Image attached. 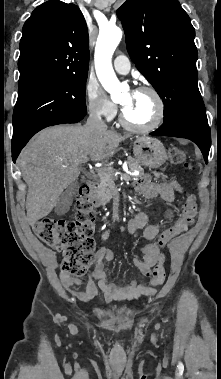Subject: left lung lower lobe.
Segmentation results:
<instances>
[{
  "label": "left lung lower lobe",
  "mask_w": 221,
  "mask_h": 379,
  "mask_svg": "<svg viewBox=\"0 0 221 379\" xmlns=\"http://www.w3.org/2000/svg\"><path fill=\"white\" fill-rule=\"evenodd\" d=\"M150 135L187 138L201 149L207 163L211 146V134L207 120L187 116H174L166 121Z\"/></svg>",
  "instance_id": "left-lung-lower-lobe-1"
}]
</instances>
